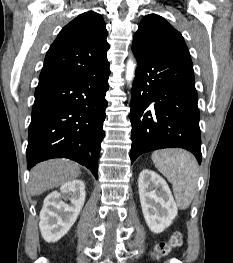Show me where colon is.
Segmentation results:
<instances>
[{"instance_id":"obj_1","label":"colon","mask_w":233,"mask_h":263,"mask_svg":"<svg viewBox=\"0 0 233 263\" xmlns=\"http://www.w3.org/2000/svg\"><path fill=\"white\" fill-rule=\"evenodd\" d=\"M182 242V234L180 232H175L172 234L169 240L156 244L151 256L153 259L159 260L161 257L167 255L171 250L180 247Z\"/></svg>"}]
</instances>
